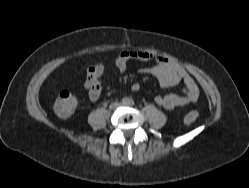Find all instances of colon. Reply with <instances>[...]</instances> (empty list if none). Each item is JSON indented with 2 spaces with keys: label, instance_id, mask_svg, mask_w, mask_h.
I'll return each mask as SVG.
<instances>
[{
  "label": "colon",
  "instance_id": "5ec220e1",
  "mask_svg": "<svg viewBox=\"0 0 249 188\" xmlns=\"http://www.w3.org/2000/svg\"><path fill=\"white\" fill-rule=\"evenodd\" d=\"M78 105L77 98L67 90L61 91L54 101V110L58 116L69 117ZM199 117V113L195 110L189 111L184 116V123H194Z\"/></svg>",
  "mask_w": 249,
  "mask_h": 188
}]
</instances>
